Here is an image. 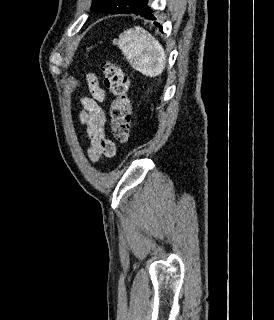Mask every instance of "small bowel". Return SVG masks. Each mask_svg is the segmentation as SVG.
I'll use <instances>...</instances> for the list:
<instances>
[{
  "mask_svg": "<svg viewBox=\"0 0 274 320\" xmlns=\"http://www.w3.org/2000/svg\"><path fill=\"white\" fill-rule=\"evenodd\" d=\"M86 82L92 97L81 99L79 123L89 142L88 157L92 162H98L103 158L112 157L116 147L106 131L107 114L101 106L105 92L99 86L98 78L93 72L86 74Z\"/></svg>",
  "mask_w": 274,
  "mask_h": 320,
  "instance_id": "small-bowel-1",
  "label": "small bowel"
}]
</instances>
